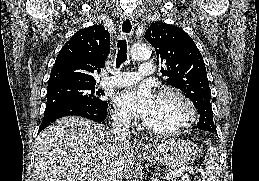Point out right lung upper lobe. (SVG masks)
<instances>
[{
    "instance_id": "1",
    "label": "right lung upper lobe",
    "mask_w": 259,
    "mask_h": 181,
    "mask_svg": "<svg viewBox=\"0 0 259 181\" xmlns=\"http://www.w3.org/2000/svg\"><path fill=\"white\" fill-rule=\"evenodd\" d=\"M110 52V35L104 26L77 31L60 50L48 86L61 83L95 84V70L105 66Z\"/></svg>"
}]
</instances>
